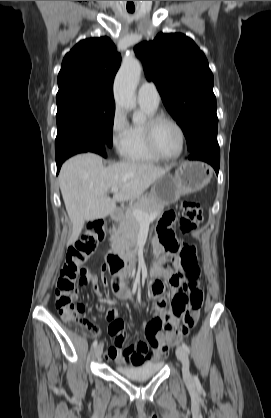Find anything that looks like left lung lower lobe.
<instances>
[{"instance_id":"1","label":"left lung lower lobe","mask_w":271,"mask_h":418,"mask_svg":"<svg viewBox=\"0 0 271 418\" xmlns=\"http://www.w3.org/2000/svg\"><path fill=\"white\" fill-rule=\"evenodd\" d=\"M189 160H202L213 166L216 173L218 174L220 166V149L218 142H211L204 144L191 152Z\"/></svg>"}]
</instances>
